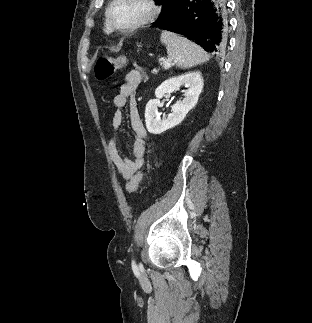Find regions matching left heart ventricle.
<instances>
[{
    "label": "left heart ventricle",
    "mask_w": 312,
    "mask_h": 323,
    "mask_svg": "<svg viewBox=\"0 0 312 323\" xmlns=\"http://www.w3.org/2000/svg\"><path fill=\"white\" fill-rule=\"evenodd\" d=\"M111 12L112 18H146L143 0H122Z\"/></svg>",
    "instance_id": "obj_1"
}]
</instances>
